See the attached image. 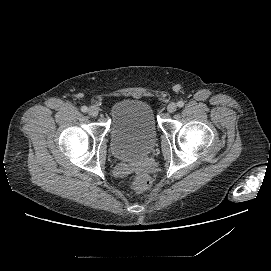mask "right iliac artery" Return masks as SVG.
Wrapping results in <instances>:
<instances>
[{
  "label": "right iliac artery",
  "instance_id": "1",
  "mask_svg": "<svg viewBox=\"0 0 271 271\" xmlns=\"http://www.w3.org/2000/svg\"><path fill=\"white\" fill-rule=\"evenodd\" d=\"M87 110H88V108H87L86 106H82V107H81V111H82V112L85 113V112H87Z\"/></svg>",
  "mask_w": 271,
  "mask_h": 271
}]
</instances>
